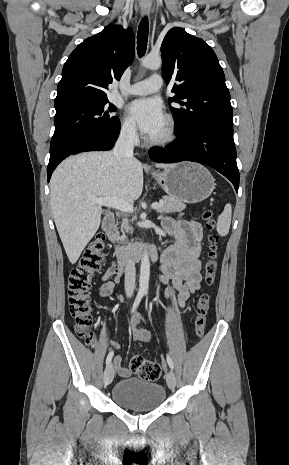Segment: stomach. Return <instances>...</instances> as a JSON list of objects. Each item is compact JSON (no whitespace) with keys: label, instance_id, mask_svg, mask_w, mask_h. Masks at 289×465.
Segmentation results:
<instances>
[{"label":"stomach","instance_id":"0dacf381","mask_svg":"<svg viewBox=\"0 0 289 465\" xmlns=\"http://www.w3.org/2000/svg\"><path fill=\"white\" fill-rule=\"evenodd\" d=\"M170 196L184 203H198L208 198L215 188L214 178L201 164L180 162L161 172L152 173Z\"/></svg>","mask_w":289,"mask_h":465}]
</instances>
